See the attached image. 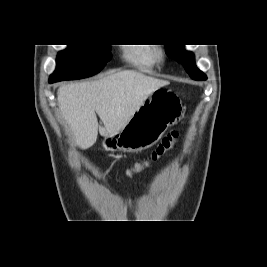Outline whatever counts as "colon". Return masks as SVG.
Masks as SVG:
<instances>
[{
	"instance_id": "colon-1",
	"label": "colon",
	"mask_w": 267,
	"mask_h": 267,
	"mask_svg": "<svg viewBox=\"0 0 267 267\" xmlns=\"http://www.w3.org/2000/svg\"><path fill=\"white\" fill-rule=\"evenodd\" d=\"M179 138V132L178 131H172L168 133L163 139L160 141V143L155 147V149L150 154V160L142 163H137L135 166L130 169H123V174H127V178H136V173H130L131 172H138L141 171L143 168H145L150 161H157L161 157H163L166 153H168L176 144L177 140Z\"/></svg>"
}]
</instances>
